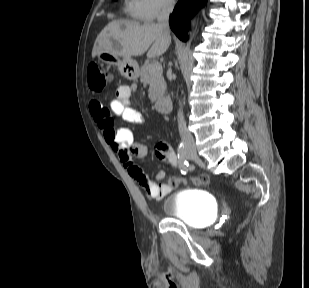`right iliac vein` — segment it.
Segmentation results:
<instances>
[{
    "mask_svg": "<svg viewBox=\"0 0 309 288\" xmlns=\"http://www.w3.org/2000/svg\"><path fill=\"white\" fill-rule=\"evenodd\" d=\"M195 152V149H188V150H186L185 152H184V155H191V154H193Z\"/></svg>",
    "mask_w": 309,
    "mask_h": 288,
    "instance_id": "right-iliac-vein-1",
    "label": "right iliac vein"
}]
</instances>
